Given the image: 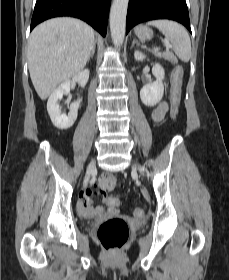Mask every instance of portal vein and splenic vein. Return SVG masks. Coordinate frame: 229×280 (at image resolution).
Masks as SVG:
<instances>
[{
    "instance_id": "portal-vein-and-splenic-vein-1",
    "label": "portal vein and splenic vein",
    "mask_w": 229,
    "mask_h": 280,
    "mask_svg": "<svg viewBox=\"0 0 229 280\" xmlns=\"http://www.w3.org/2000/svg\"><path fill=\"white\" fill-rule=\"evenodd\" d=\"M164 46H165L166 49L171 48L170 43L168 41H166V40H164ZM154 50H158V49H154Z\"/></svg>"
}]
</instances>
